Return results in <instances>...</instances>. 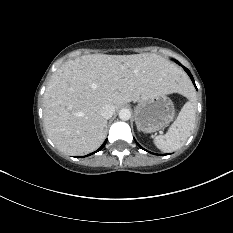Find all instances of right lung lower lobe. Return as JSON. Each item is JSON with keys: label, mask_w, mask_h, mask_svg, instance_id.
<instances>
[{"label": "right lung lower lobe", "mask_w": 233, "mask_h": 233, "mask_svg": "<svg viewBox=\"0 0 233 233\" xmlns=\"http://www.w3.org/2000/svg\"><path fill=\"white\" fill-rule=\"evenodd\" d=\"M106 142H107V139L105 140V142L102 144V146H101L97 151H95V152H93V153H91V154H94V153L100 151V150L105 146ZM91 154H90V155H91ZM87 156H89V155H87Z\"/></svg>", "instance_id": "right-lung-lower-lobe-1"}]
</instances>
